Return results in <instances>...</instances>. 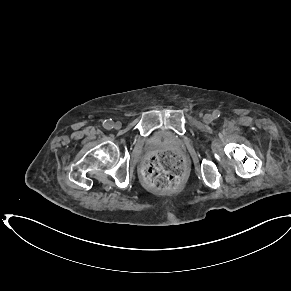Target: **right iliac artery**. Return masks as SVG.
I'll return each mask as SVG.
<instances>
[{"instance_id": "right-iliac-artery-1", "label": "right iliac artery", "mask_w": 291, "mask_h": 291, "mask_svg": "<svg viewBox=\"0 0 291 291\" xmlns=\"http://www.w3.org/2000/svg\"><path fill=\"white\" fill-rule=\"evenodd\" d=\"M103 126L106 129L110 130V129L113 128V121H111V119H110V121L109 120H105L104 123H103Z\"/></svg>"}]
</instances>
